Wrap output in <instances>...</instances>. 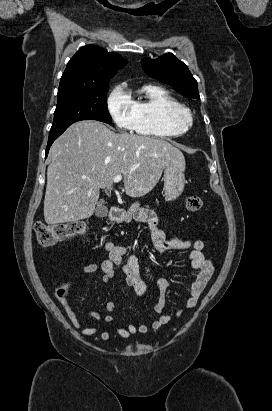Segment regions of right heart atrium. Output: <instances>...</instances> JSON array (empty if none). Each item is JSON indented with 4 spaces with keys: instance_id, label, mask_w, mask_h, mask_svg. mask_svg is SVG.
I'll list each match as a JSON object with an SVG mask.
<instances>
[{
    "instance_id": "1",
    "label": "right heart atrium",
    "mask_w": 272,
    "mask_h": 411,
    "mask_svg": "<svg viewBox=\"0 0 272 411\" xmlns=\"http://www.w3.org/2000/svg\"><path fill=\"white\" fill-rule=\"evenodd\" d=\"M107 111L120 130H131L134 125V107L125 86H115L107 97Z\"/></svg>"
}]
</instances>
